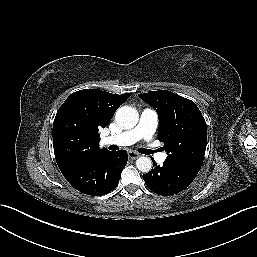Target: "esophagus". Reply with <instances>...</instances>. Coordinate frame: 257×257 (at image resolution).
Returning <instances> with one entry per match:
<instances>
[{
	"instance_id": "34e87169",
	"label": "esophagus",
	"mask_w": 257,
	"mask_h": 257,
	"mask_svg": "<svg viewBox=\"0 0 257 257\" xmlns=\"http://www.w3.org/2000/svg\"><path fill=\"white\" fill-rule=\"evenodd\" d=\"M139 156H140L139 153H137V152H135V151H129V152H128V157H129L130 159H137Z\"/></svg>"
}]
</instances>
